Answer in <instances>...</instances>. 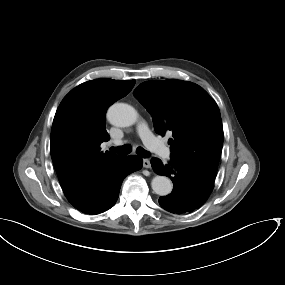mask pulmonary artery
I'll return each mask as SVG.
<instances>
[{
	"mask_svg": "<svg viewBox=\"0 0 285 285\" xmlns=\"http://www.w3.org/2000/svg\"><path fill=\"white\" fill-rule=\"evenodd\" d=\"M138 133L142 138L144 144L153 150L156 154H158L163 159H169L171 156V149L167 147L159 138L154 136L148 127L144 124L140 125L138 128ZM120 141H113L112 145L117 146L120 145Z\"/></svg>",
	"mask_w": 285,
	"mask_h": 285,
	"instance_id": "pulmonary-artery-1",
	"label": "pulmonary artery"
}]
</instances>
